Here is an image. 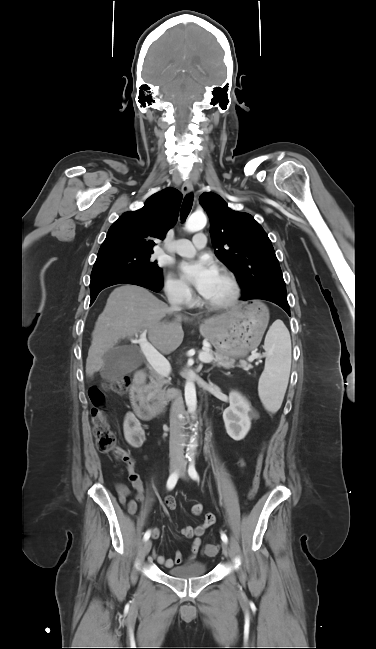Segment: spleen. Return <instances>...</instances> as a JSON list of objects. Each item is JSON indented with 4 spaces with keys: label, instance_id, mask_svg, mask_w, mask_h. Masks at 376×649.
Segmentation results:
<instances>
[{
    "label": "spleen",
    "instance_id": "spleen-1",
    "mask_svg": "<svg viewBox=\"0 0 376 649\" xmlns=\"http://www.w3.org/2000/svg\"><path fill=\"white\" fill-rule=\"evenodd\" d=\"M264 349L265 368L259 379L258 393L266 410L275 413L282 404L291 368L290 334L281 321L269 328Z\"/></svg>",
    "mask_w": 376,
    "mask_h": 649
}]
</instances>
